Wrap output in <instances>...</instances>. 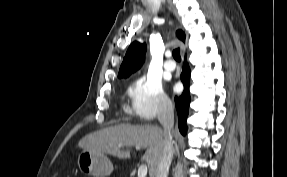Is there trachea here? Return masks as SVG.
I'll list each match as a JSON object with an SVG mask.
<instances>
[{"mask_svg": "<svg viewBox=\"0 0 287 177\" xmlns=\"http://www.w3.org/2000/svg\"><path fill=\"white\" fill-rule=\"evenodd\" d=\"M172 55H173V58H174L176 61H181L180 49H179V48L173 50Z\"/></svg>", "mask_w": 287, "mask_h": 177, "instance_id": "3493384b", "label": "trachea"}]
</instances>
